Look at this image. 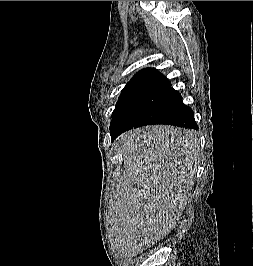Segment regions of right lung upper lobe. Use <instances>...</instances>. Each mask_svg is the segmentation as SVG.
Listing matches in <instances>:
<instances>
[{
	"label": "right lung upper lobe",
	"mask_w": 253,
	"mask_h": 266,
	"mask_svg": "<svg viewBox=\"0 0 253 266\" xmlns=\"http://www.w3.org/2000/svg\"><path fill=\"white\" fill-rule=\"evenodd\" d=\"M159 86H171V83L154 68L142 69L126 84L120 97Z\"/></svg>",
	"instance_id": "1"
}]
</instances>
